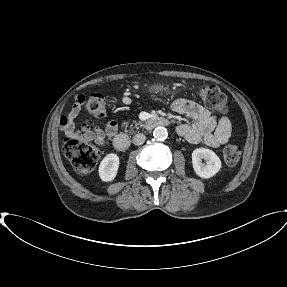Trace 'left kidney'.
<instances>
[{
	"mask_svg": "<svg viewBox=\"0 0 287 287\" xmlns=\"http://www.w3.org/2000/svg\"><path fill=\"white\" fill-rule=\"evenodd\" d=\"M206 160V164L202 163ZM192 164L195 173L202 178L213 177L221 168L220 158L210 149L197 148L192 152Z\"/></svg>",
	"mask_w": 287,
	"mask_h": 287,
	"instance_id": "5707ae66",
	"label": "left kidney"
}]
</instances>
